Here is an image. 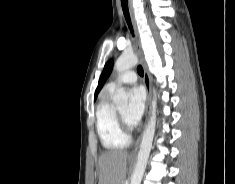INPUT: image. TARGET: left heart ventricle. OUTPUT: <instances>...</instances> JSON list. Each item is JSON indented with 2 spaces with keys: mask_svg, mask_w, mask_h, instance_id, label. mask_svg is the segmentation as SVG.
Listing matches in <instances>:
<instances>
[{
  "mask_svg": "<svg viewBox=\"0 0 235 184\" xmlns=\"http://www.w3.org/2000/svg\"><path fill=\"white\" fill-rule=\"evenodd\" d=\"M119 114H121L125 119H126V116H127V113H128V108L127 107H124V108H121L118 110Z\"/></svg>",
  "mask_w": 235,
  "mask_h": 184,
  "instance_id": "b2bd125f",
  "label": "left heart ventricle"
}]
</instances>
